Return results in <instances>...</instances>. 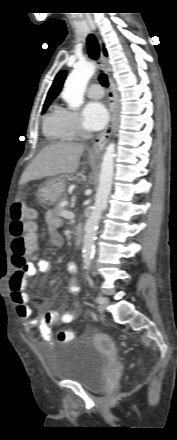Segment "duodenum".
Segmentation results:
<instances>
[{"instance_id":"1","label":"duodenum","mask_w":177,"mask_h":440,"mask_svg":"<svg viewBox=\"0 0 177 440\" xmlns=\"http://www.w3.org/2000/svg\"><path fill=\"white\" fill-rule=\"evenodd\" d=\"M84 237V231L82 226H76L74 228V243L76 246H80Z\"/></svg>"}]
</instances>
